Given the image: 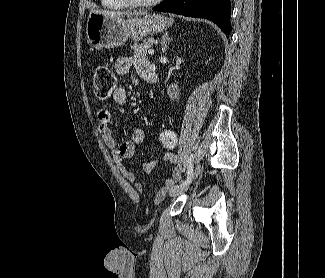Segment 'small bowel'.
<instances>
[{
  "label": "small bowel",
  "mask_w": 325,
  "mask_h": 278,
  "mask_svg": "<svg viewBox=\"0 0 325 278\" xmlns=\"http://www.w3.org/2000/svg\"><path fill=\"white\" fill-rule=\"evenodd\" d=\"M149 65V62L140 57H120L114 63V68L119 75H125L127 73H132L134 82L137 83L138 80L136 76H139L145 79V70ZM114 102L119 106H125L127 103V94L124 88L119 87L113 94ZM98 120H99V131L101 132L104 142L107 147L110 149L115 164L120 172L124 175V177L130 181L135 183V187L138 190L143 189V184L136 181L135 173L128 169L123 161L125 159L131 158L136 149L141 146L145 140V131L143 128H136L129 140L119 142L115 135L111 131V112L107 108H100L98 110ZM172 132L176 138V134L169 129L163 130L160 136H164ZM177 140V139H176ZM168 162L173 166L172 175L166 180L165 184L155 191V195L160 197L165 194L166 190L170 185L176 182L179 177V169H178V158L177 156L171 152H165L160 158L150 159L144 164V170L146 173L151 174L155 171L156 166L159 162Z\"/></svg>",
  "instance_id": "small-bowel-1"
}]
</instances>
